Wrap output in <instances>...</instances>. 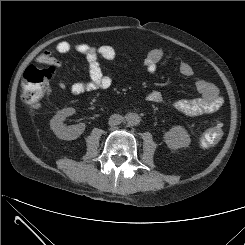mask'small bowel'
Returning a JSON list of instances; mask_svg holds the SVG:
<instances>
[{
	"mask_svg": "<svg viewBox=\"0 0 245 245\" xmlns=\"http://www.w3.org/2000/svg\"><path fill=\"white\" fill-rule=\"evenodd\" d=\"M66 53H77L85 57L89 80L72 84L60 80L59 86L61 88L68 90L73 95H79L90 90L107 89L112 85V79L103 73L101 67V59L111 61L116 58V51L112 46L102 45L95 47L84 43L61 41L55 47L42 52L36 58V61L40 64H47L55 69H60L62 65L56 55ZM163 58V50L152 49L149 51L144 59L147 71L153 73ZM179 72L182 76L189 78L193 76L194 69L189 63L182 62L179 64ZM195 86L199 96L195 99L174 102L172 107L175 111L185 116H195L212 113L221 107L223 98L213 83L199 79L196 81ZM148 100L158 103L162 100V96L158 92H151L148 95Z\"/></svg>",
	"mask_w": 245,
	"mask_h": 245,
	"instance_id": "small-bowel-1",
	"label": "small bowel"
}]
</instances>
